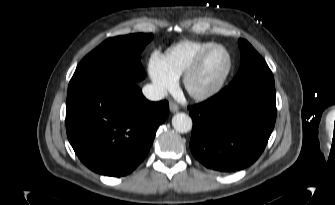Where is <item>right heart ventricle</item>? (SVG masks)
Listing matches in <instances>:
<instances>
[{"label": "right heart ventricle", "instance_id": "obj_1", "mask_svg": "<svg viewBox=\"0 0 335 205\" xmlns=\"http://www.w3.org/2000/svg\"><path fill=\"white\" fill-rule=\"evenodd\" d=\"M211 41L183 40L169 47L164 54L167 69L176 78L184 75L198 55L214 45Z\"/></svg>", "mask_w": 335, "mask_h": 205}]
</instances>
